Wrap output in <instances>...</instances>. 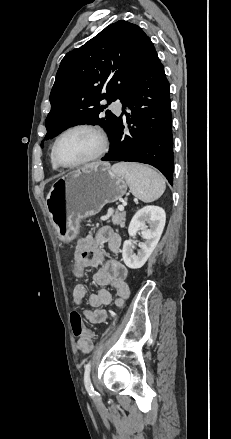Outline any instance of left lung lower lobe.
Segmentation results:
<instances>
[{"instance_id": "1", "label": "left lung lower lobe", "mask_w": 231, "mask_h": 439, "mask_svg": "<svg viewBox=\"0 0 231 439\" xmlns=\"http://www.w3.org/2000/svg\"><path fill=\"white\" fill-rule=\"evenodd\" d=\"M129 133L118 117L109 153L103 161H128L152 165L173 184L174 158L169 83L153 47L123 101Z\"/></svg>"}]
</instances>
